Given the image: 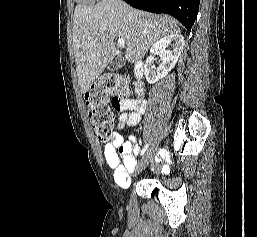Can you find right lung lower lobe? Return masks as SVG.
<instances>
[{"label":"right lung lower lobe","instance_id":"obj_1","mask_svg":"<svg viewBox=\"0 0 257 237\" xmlns=\"http://www.w3.org/2000/svg\"><path fill=\"white\" fill-rule=\"evenodd\" d=\"M140 10L165 13L178 19L189 31L198 14L200 0H124Z\"/></svg>","mask_w":257,"mask_h":237}]
</instances>
